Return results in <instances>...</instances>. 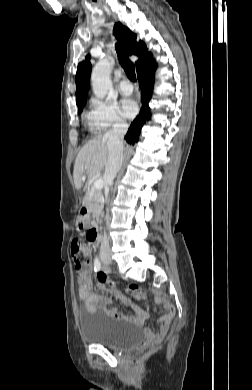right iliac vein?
Here are the masks:
<instances>
[{"label":"right iliac vein","mask_w":252,"mask_h":390,"mask_svg":"<svg viewBox=\"0 0 252 390\" xmlns=\"http://www.w3.org/2000/svg\"><path fill=\"white\" fill-rule=\"evenodd\" d=\"M102 260H103L104 262H110V261H111L110 258H109L108 256H103V257H102Z\"/></svg>","instance_id":"63e3f726"}]
</instances>
